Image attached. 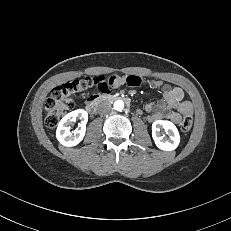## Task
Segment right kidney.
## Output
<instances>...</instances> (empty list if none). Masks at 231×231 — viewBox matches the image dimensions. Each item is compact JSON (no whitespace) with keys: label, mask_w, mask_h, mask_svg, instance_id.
<instances>
[{"label":"right kidney","mask_w":231,"mask_h":231,"mask_svg":"<svg viewBox=\"0 0 231 231\" xmlns=\"http://www.w3.org/2000/svg\"><path fill=\"white\" fill-rule=\"evenodd\" d=\"M80 119L79 128L74 132H70V125ZM88 121V113L85 110L77 109L65 115L56 130V138L58 141L67 147H72L79 144L85 136L86 124Z\"/></svg>","instance_id":"ca27d5eb"}]
</instances>
